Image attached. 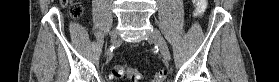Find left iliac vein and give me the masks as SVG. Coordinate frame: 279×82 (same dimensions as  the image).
<instances>
[{"instance_id":"obj_1","label":"left iliac vein","mask_w":279,"mask_h":82,"mask_svg":"<svg viewBox=\"0 0 279 82\" xmlns=\"http://www.w3.org/2000/svg\"><path fill=\"white\" fill-rule=\"evenodd\" d=\"M149 38L159 47L160 54L164 61H170V52L165 39L157 29H153Z\"/></svg>"}]
</instances>
